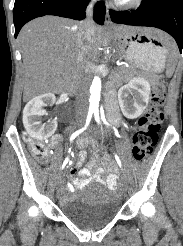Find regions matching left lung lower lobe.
<instances>
[{"instance_id": "obj_1", "label": "left lung lower lobe", "mask_w": 183, "mask_h": 246, "mask_svg": "<svg viewBox=\"0 0 183 246\" xmlns=\"http://www.w3.org/2000/svg\"><path fill=\"white\" fill-rule=\"evenodd\" d=\"M112 22L162 29L183 48V0H142L134 11L110 10Z\"/></svg>"}]
</instances>
